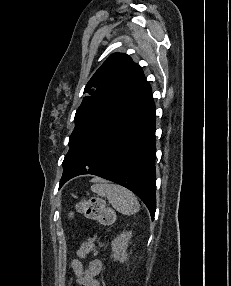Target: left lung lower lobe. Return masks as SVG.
Instances as JSON below:
<instances>
[{
	"label": "left lung lower lobe",
	"mask_w": 231,
	"mask_h": 286,
	"mask_svg": "<svg viewBox=\"0 0 231 286\" xmlns=\"http://www.w3.org/2000/svg\"><path fill=\"white\" fill-rule=\"evenodd\" d=\"M155 152V105L145 82L81 139L64 166L60 187L78 175L100 176L133 191L153 219Z\"/></svg>",
	"instance_id": "obj_1"
}]
</instances>
